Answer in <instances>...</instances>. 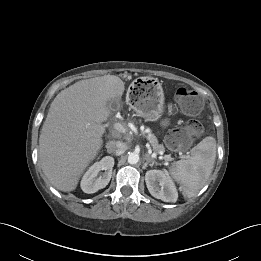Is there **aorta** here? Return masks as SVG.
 Masks as SVG:
<instances>
[{
	"label": "aorta",
	"mask_w": 261,
	"mask_h": 261,
	"mask_svg": "<svg viewBox=\"0 0 261 261\" xmlns=\"http://www.w3.org/2000/svg\"><path fill=\"white\" fill-rule=\"evenodd\" d=\"M139 162V155L137 153H131L128 156V163L129 164H137Z\"/></svg>",
	"instance_id": "obj_1"
}]
</instances>
